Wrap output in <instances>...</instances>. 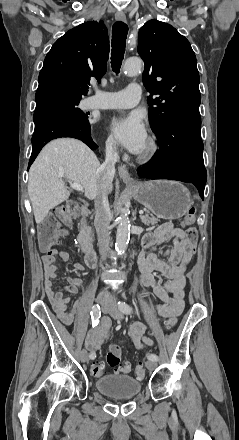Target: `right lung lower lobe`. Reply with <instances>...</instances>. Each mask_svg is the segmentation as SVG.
I'll list each match as a JSON object with an SVG mask.
<instances>
[{"mask_svg": "<svg viewBox=\"0 0 239 440\" xmlns=\"http://www.w3.org/2000/svg\"><path fill=\"white\" fill-rule=\"evenodd\" d=\"M35 130L32 136V154L29 166L40 150L49 141L61 137H72L83 141L92 150L98 146L92 140L89 121H81L68 111L57 106H43L34 112Z\"/></svg>", "mask_w": 239, "mask_h": 440, "instance_id": "1", "label": "right lung lower lobe"}]
</instances>
